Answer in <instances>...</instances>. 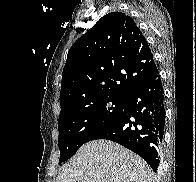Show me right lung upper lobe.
<instances>
[{
  "instance_id": "cb5924a9",
  "label": "right lung upper lobe",
  "mask_w": 196,
  "mask_h": 182,
  "mask_svg": "<svg viewBox=\"0 0 196 182\" xmlns=\"http://www.w3.org/2000/svg\"><path fill=\"white\" fill-rule=\"evenodd\" d=\"M154 66L134 20L111 12L70 48L62 73L61 112L99 97L127 98Z\"/></svg>"
}]
</instances>
